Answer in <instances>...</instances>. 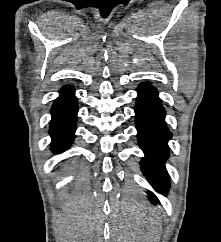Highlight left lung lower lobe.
<instances>
[{"label": "left lung lower lobe", "instance_id": "1", "mask_svg": "<svg viewBox=\"0 0 221 242\" xmlns=\"http://www.w3.org/2000/svg\"><path fill=\"white\" fill-rule=\"evenodd\" d=\"M135 114L139 146L145 153L141 161L142 172L158 192L165 194L169 179L164 164L168 158L167 142L172 134L166 127L165 111L155 88L150 85L138 87ZM149 195L153 203L158 201L154 194Z\"/></svg>", "mask_w": 221, "mask_h": 242}]
</instances>
